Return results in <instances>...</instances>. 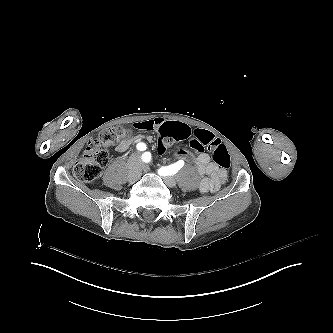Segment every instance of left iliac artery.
I'll use <instances>...</instances> for the list:
<instances>
[{
	"label": "left iliac artery",
	"instance_id": "44dca946",
	"mask_svg": "<svg viewBox=\"0 0 333 333\" xmlns=\"http://www.w3.org/2000/svg\"><path fill=\"white\" fill-rule=\"evenodd\" d=\"M142 160L144 162H149L151 160V154L146 152L142 155ZM184 165V161L179 160L177 163L169 165L167 167H161L158 170L159 175L167 176V175H174L180 168Z\"/></svg>",
	"mask_w": 333,
	"mask_h": 333
}]
</instances>
